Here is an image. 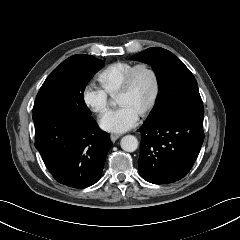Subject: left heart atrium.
<instances>
[{"mask_svg":"<svg viewBox=\"0 0 240 240\" xmlns=\"http://www.w3.org/2000/svg\"><path fill=\"white\" fill-rule=\"evenodd\" d=\"M138 114L127 106H120L105 113L100 121V127L107 132L120 134L137 124Z\"/></svg>","mask_w":240,"mask_h":240,"instance_id":"1","label":"left heart atrium"}]
</instances>
